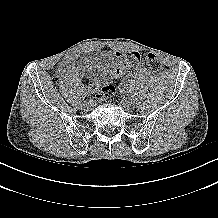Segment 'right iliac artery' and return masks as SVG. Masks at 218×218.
I'll list each match as a JSON object with an SVG mask.
<instances>
[{"label":"right iliac artery","mask_w":218,"mask_h":218,"mask_svg":"<svg viewBox=\"0 0 218 218\" xmlns=\"http://www.w3.org/2000/svg\"><path fill=\"white\" fill-rule=\"evenodd\" d=\"M86 94L89 95V97H94V92H91L90 90H87Z\"/></svg>","instance_id":"1"}]
</instances>
